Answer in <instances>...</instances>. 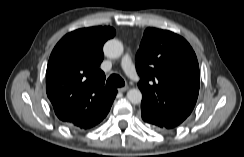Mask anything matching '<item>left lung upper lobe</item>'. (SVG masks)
Wrapping results in <instances>:
<instances>
[{"label":"left lung upper lobe","mask_w":244,"mask_h":157,"mask_svg":"<svg viewBox=\"0 0 244 157\" xmlns=\"http://www.w3.org/2000/svg\"><path fill=\"white\" fill-rule=\"evenodd\" d=\"M138 87L146 105L167 127L180 125L192 112L199 94L197 57L181 36L147 28L136 54Z\"/></svg>","instance_id":"5c2ea615"}]
</instances>
